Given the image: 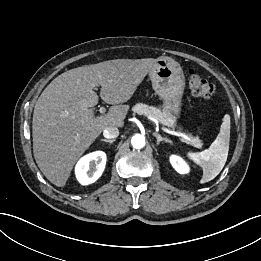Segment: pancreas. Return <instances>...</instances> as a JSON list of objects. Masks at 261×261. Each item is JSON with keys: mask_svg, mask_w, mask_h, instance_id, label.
<instances>
[{"mask_svg": "<svg viewBox=\"0 0 261 261\" xmlns=\"http://www.w3.org/2000/svg\"><path fill=\"white\" fill-rule=\"evenodd\" d=\"M132 110L139 115L150 116L165 126H168L171 128H174V126H175L176 118L173 115H171L170 112H168L164 109L160 110L153 106H148L146 104L138 103L132 108ZM189 138L192 140V142H189L186 140H184V141L195 147L201 146L200 141L198 139H196L195 137H193L191 134L189 135Z\"/></svg>", "mask_w": 261, "mask_h": 261, "instance_id": "obj_1", "label": "pancreas"}]
</instances>
